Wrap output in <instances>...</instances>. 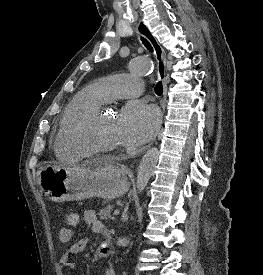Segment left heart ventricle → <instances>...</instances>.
Wrapping results in <instances>:
<instances>
[{
  "label": "left heart ventricle",
  "instance_id": "obj_1",
  "mask_svg": "<svg viewBox=\"0 0 263 275\" xmlns=\"http://www.w3.org/2000/svg\"><path fill=\"white\" fill-rule=\"evenodd\" d=\"M87 137L93 142L101 145H122L124 142L118 129V118L113 112L104 114Z\"/></svg>",
  "mask_w": 263,
  "mask_h": 275
}]
</instances>
